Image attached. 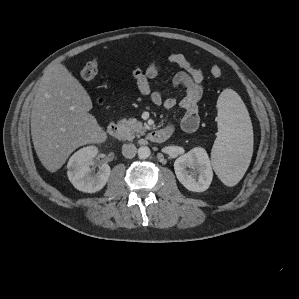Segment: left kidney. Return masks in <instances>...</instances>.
Returning a JSON list of instances; mask_svg holds the SVG:
<instances>
[{
    "label": "left kidney",
    "instance_id": "1",
    "mask_svg": "<svg viewBox=\"0 0 299 299\" xmlns=\"http://www.w3.org/2000/svg\"><path fill=\"white\" fill-rule=\"evenodd\" d=\"M177 179L189 191L203 192L208 189L213 171L207 152L196 147L177 158L174 162Z\"/></svg>",
    "mask_w": 299,
    "mask_h": 299
}]
</instances>
